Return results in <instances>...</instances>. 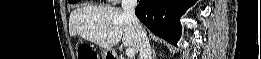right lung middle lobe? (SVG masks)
Masks as SVG:
<instances>
[{
	"mask_svg": "<svg viewBox=\"0 0 261 59\" xmlns=\"http://www.w3.org/2000/svg\"><path fill=\"white\" fill-rule=\"evenodd\" d=\"M70 3H76V2H78L77 0H71V1H69Z\"/></svg>",
	"mask_w": 261,
	"mask_h": 59,
	"instance_id": "right-lung-middle-lobe-1",
	"label": "right lung middle lobe"
}]
</instances>
